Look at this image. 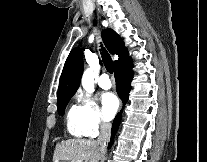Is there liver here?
I'll return each mask as SVG.
<instances>
[{
	"label": "liver",
	"mask_w": 207,
	"mask_h": 162,
	"mask_svg": "<svg viewBox=\"0 0 207 162\" xmlns=\"http://www.w3.org/2000/svg\"><path fill=\"white\" fill-rule=\"evenodd\" d=\"M101 153L96 141L91 139H68L56 145L53 155V162L78 160L85 162H98L102 160Z\"/></svg>",
	"instance_id": "6515ba94"
}]
</instances>
